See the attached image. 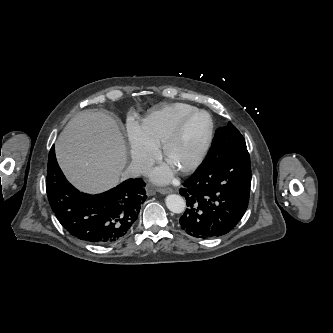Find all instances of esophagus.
Segmentation results:
<instances>
[{"label":"esophagus","mask_w":333,"mask_h":333,"mask_svg":"<svg viewBox=\"0 0 333 333\" xmlns=\"http://www.w3.org/2000/svg\"><path fill=\"white\" fill-rule=\"evenodd\" d=\"M159 193L165 195V194H168V193H172L173 192V189L171 188H168V187H164V188H158L157 190ZM152 194V193H151Z\"/></svg>","instance_id":"esophagus-1"}]
</instances>
